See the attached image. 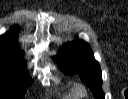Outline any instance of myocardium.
<instances>
[{
	"label": "myocardium",
	"instance_id": "myocardium-1",
	"mask_svg": "<svg viewBox=\"0 0 128 99\" xmlns=\"http://www.w3.org/2000/svg\"><path fill=\"white\" fill-rule=\"evenodd\" d=\"M76 90H77V93L80 95V96H84L86 95V89L83 85L79 84L76 86Z\"/></svg>",
	"mask_w": 128,
	"mask_h": 99
}]
</instances>
